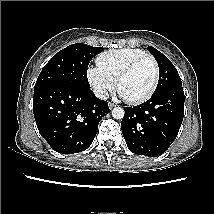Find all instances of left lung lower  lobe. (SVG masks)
Masks as SVG:
<instances>
[{"label":"left lung lower lobe","mask_w":214,"mask_h":214,"mask_svg":"<svg viewBox=\"0 0 214 214\" xmlns=\"http://www.w3.org/2000/svg\"><path fill=\"white\" fill-rule=\"evenodd\" d=\"M182 85L153 93L145 103L124 107L121 129L129 150L149 157L163 154L176 139L184 117Z\"/></svg>","instance_id":"obj_1"}]
</instances>
